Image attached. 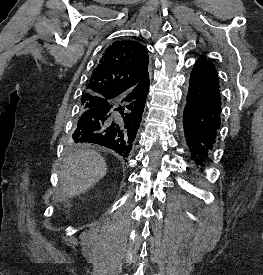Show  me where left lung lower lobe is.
<instances>
[{"mask_svg": "<svg viewBox=\"0 0 263 275\" xmlns=\"http://www.w3.org/2000/svg\"><path fill=\"white\" fill-rule=\"evenodd\" d=\"M221 93L215 67L209 59L199 58L192 70L183 131L191 159L203 171L220 127Z\"/></svg>", "mask_w": 263, "mask_h": 275, "instance_id": "0a47b994", "label": "left lung lower lobe"}]
</instances>
